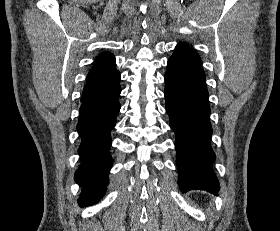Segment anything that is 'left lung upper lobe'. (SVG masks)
<instances>
[{"instance_id": "1", "label": "left lung upper lobe", "mask_w": 280, "mask_h": 231, "mask_svg": "<svg viewBox=\"0 0 280 231\" xmlns=\"http://www.w3.org/2000/svg\"><path fill=\"white\" fill-rule=\"evenodd\" d=\"M170 70L183 73H204L200 57L185 43H179L168 60Z\"/></svg>"}]
</instances>
